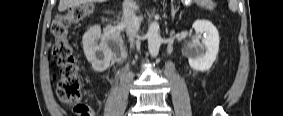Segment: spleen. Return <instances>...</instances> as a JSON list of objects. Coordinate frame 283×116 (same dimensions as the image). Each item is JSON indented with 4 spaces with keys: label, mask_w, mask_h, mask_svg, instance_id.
Returning <instances> with one entry per match:
<instances>
[{
    "label": "spleen",
    "mask_w": 283,
    "mask_h": 116,
    "mask_svg": "<svg viewBox=\"0 0 283 116\" xmlns=\"http://www.w3.org/2000/svg\"><path fill=\"white\" fill-rule=\"evenodd\" d=\"M238 8L237 0H230L229 1V9L233 12H235Z\"/></svg>",
    "instance_id": "spleen-1"
}]
</instances>
